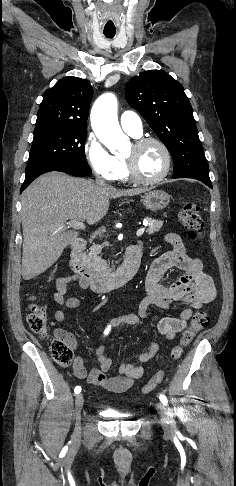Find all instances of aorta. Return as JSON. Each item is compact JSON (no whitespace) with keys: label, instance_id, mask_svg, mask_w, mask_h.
Here are the masks:
<instances>
[{"label":"aorta","instance_id":"762f6f07","mask_svg":"<svg viewBox=\"0 0 236 486\" xmlns=\"http://www.w3.org/2000/svg\"><path fill=\"white\" fill-rule=\"evenodd\" d=\"M117 106L116 96L106 93L97 99L91 110L92 128L111 153L125 149L128 144V138L118 123Z\"/></svg>","mask_w":236,"mask_h":486}]
</instances>
